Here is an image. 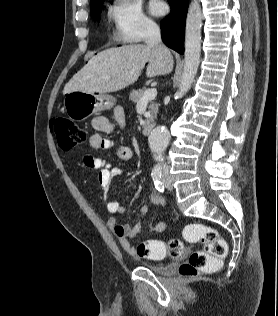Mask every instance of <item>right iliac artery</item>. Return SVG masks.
Here are the masks:
<instances>
[{
	"instance_id": "1",
	"label": "right iliac artery",
	"mask_w": 278,
	"mask_h": 316,
	"mask_svg": "<svg viewBox=\"0 0 278 316\" xmlns=\"http://www.w3.org/2000/svg\"><path fill=\"white\" fill-rule=\"evenodd\" d=\"M152 179L153 182L155 184V188L160 191L163 192L164 191V184L162 182V169L161 167H155L152 171Z\"/></svg>"
}]
</instances>
